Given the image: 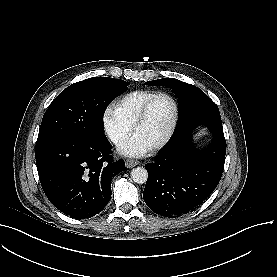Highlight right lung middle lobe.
<instances>
[{
	"label": "right lung middle lobe",
	"mask_w": 277,
	"mask_h": 277,
	"mask_svg": "<svg viewBox=\"0 0 277 277\" xmlns=\"http://www.w3.org/2000/svg\"><path fill=\"white\" fill-rule=\"evenodd\" d=\"M124 80L93 77L64 89L46 110L37 142L58 138L104 135L103 113L114 98L127 90Z\"/></svg>",
	"instance_id": "right-lung-middle-lobe-1"
}]
</instances>
